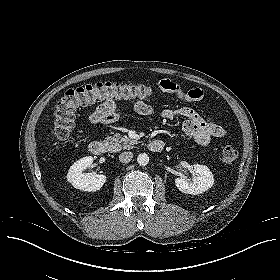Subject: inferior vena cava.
Listing matches in <instances>:
<instances>
[{"label": "inferior vena cava", "instance_id": "602c4592", "mask_svg": "<svg viewBox=\"0 0 280 280\" xmlns=\"http://www.w3.org/2000/svg\"><path fill=\"white\" fill-rule=\"evenodd\" d=\"M133 158V153L132 152H122L119 155V160L122 163H129Z\"/></svg>", "mask_w": 280, "mask_h": 280}]
</instances>
